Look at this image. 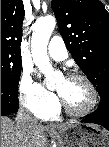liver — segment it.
<instances>
[{
    "label": "liver",
    "instance_id": "obj_1",
    "mask_svg": "<svg viewBox=\"0 0 109 147\" xmlns=\"http://www.w3.org/2000/svg\"><path fill=\"white\" fill-rule=\"evenodd\" d=\"M69 124H57L56 129H65ZM46 127L37 125L26 137L8 117H1V147H46Z\"/></svg>",
    "mask_w": 109,
    "mask_h": 147
}]
</instances>
